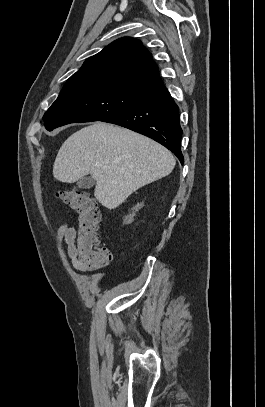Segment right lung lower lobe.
<instances>
[{"label": "right lung lower lobe", "instance_id": "obj_1", "mask_svg": "<svg viewBox=\"0 0 265 407\" xmlns=\"http://www.w3.org/2000/svg\"><path fill=\"white\" fill-rule=\"evenodd\" d=\"M102 121L154 139L172 151L183 164L179 108L164 84L131 108Z\"/></svg>", "mask_w": 265, "mask_h": 407}]
</instances>
